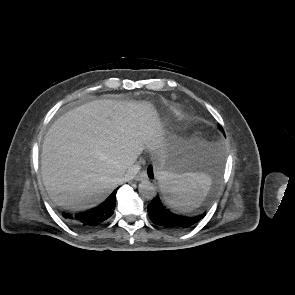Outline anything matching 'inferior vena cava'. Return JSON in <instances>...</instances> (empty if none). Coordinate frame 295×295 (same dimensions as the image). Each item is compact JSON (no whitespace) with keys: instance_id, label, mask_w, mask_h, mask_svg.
Segmentation results:
<instances>
[{"instance_id":"602c4592","label":"inferior vena cava","mask_w":295,"mask_h":295,"mask_svg":"<svg viewBox=\"0 0 295 295\" xmlns=\"http://www.w3.org/2000/svg\"><path fill=\"white\" fill-rule=\"evenodd\" d=\"M141 166L138 164H134L128 168L126 173L124 174L122 181H130L132 180L135 175L140 171Z\"/></svg>"}]
</instances>
